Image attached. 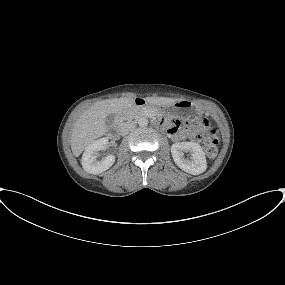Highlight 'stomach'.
<instances>
[{"instance_id": "0dacf381", "label": "stomach", "mask_w": 285, "mask_h": 285, "mask_svg": "<svg viewBox=\"0 0 285 285\" xmlns=\"http://www.w3.org/2000/svg\"><path fill=\"white\" fill-rule=\"evenodd\" d=\"M160 111L167 113L168 115L181 117L184 119L195 120L198 119L202 110L200 107L190 100H179L169 106H159Z\"/></svg>"}]
</instances>
